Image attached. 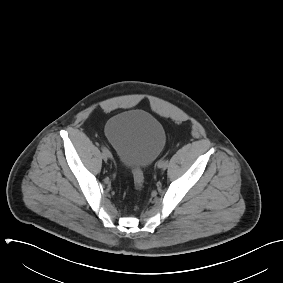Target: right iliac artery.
<instances>
[{
	"label": "right iliac artery",
	"mask_w": 283,
	"mask_h": 283,
	"mask_svg": "<svg viewBox=\"0 0 283 283\" xmlns=\"http://www.w3.org/2000/svg\"><path fill=\"white\" fill-rule=\"evenodd\" d=\"M101 149H102V151H103L104 153L111 154V153L109 152V150H108L106 147L102 146Z\"/></svg>",
	"instance_id": "1"
}]
</instances>
